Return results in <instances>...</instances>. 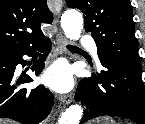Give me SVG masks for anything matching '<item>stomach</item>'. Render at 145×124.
<instances>
[{
    "instance_id": "0dacf381",
    "label": "stomach",
    "mask_w": 145,
    "mask_h": 124,
    "mask_svg": "<svg viewBox=\"0 0 145 124\" xmlns=\"http://www.w3.org/2000/svg\"><path fill=\"white\" fill-rule=\"evenodd\" d=\"M92 124H116L115 121L111 118H103L100 119L98 121H96L95 123Z\"/></svg>"
}]
</instances>
